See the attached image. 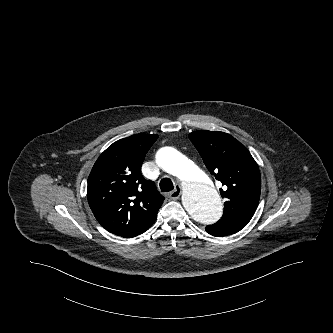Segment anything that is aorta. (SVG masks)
Masks as SVG:
<instances>
[{
  "mask_svg": "<svg viewBox=\"0 0 333 333\" xmlns=\"http://www.w3.org/2000/svg\"><path fill=\"white\" fill-rule=\"evenodd\" d=\"M157 164L166 172L177 175L182 183V204L189 215L202 224H212L222 214V202L206 174L172 147L161 148Z\"/></svg>",
  "mask_w": 333,
  "mask_h": 333,
  "instance_id": "1",
  "label": "aorta"
}]
</instances>
